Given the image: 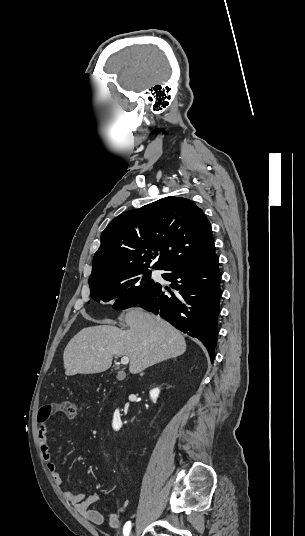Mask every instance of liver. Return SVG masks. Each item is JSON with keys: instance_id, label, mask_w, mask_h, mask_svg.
I'll return each instance as SVG.
<instances>
[{"instance_id": "liver-1", "label": "liver", "mask_w": 305, "mask_h": 536, "mask_svg": "<svg viewBox=\"0 0 305 536\" xmlns=\"http://www.w3.org/2000/svg\"><path fill=\"white\" fill-rule=\"evenodd\" d=\"M124 322L130 330L92 326L78 332L64 350L66 376L105 372L111 368L113 356L130 358V374H139L149 366L186 352L182 334L160 316L143 312L141 308H131L125 314ZM100 324L112 322L103 320Z\"/></svg>"}]
</instances>
